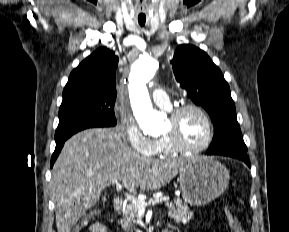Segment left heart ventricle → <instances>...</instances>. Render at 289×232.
Segmentation results:
<instances>
[{
  "label": "left heart ventricle",
  "instance_id": "1",
  "mask_svg": "<svg viewBox=\"0 0 289 232\" xmlns=\"http://www.w3.org/2000/svg\"><path fill=\"white\" fill-rule=\"evenodd\" d=\"M176 133L179 139L187 146H197L207 137V125L196 111L185 112L177 122L169 120L164 135Z\"/></svg>",
  "mask_w": 289,
  "mask_h": 232
}]
</instances>
